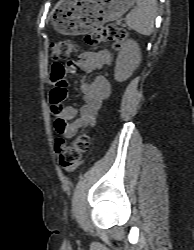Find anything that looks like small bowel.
Returning a JSON list of instances; mask_svg holds the SVG:
<instances>
[{
  "label": "small bowel",
  "instance_id": "1",
  "mask_svg": "<svg viewBox=\"0 0 194 250\" xmlns=\"http://www.w3.org/2000/svg\"><path fill=\"white\" fill-rule=\"evenodd\" d=\"M111 61L110 52L106 49L99 51H86L78 61L64 65L54 64L52 67V76L61 75L62 79L55 83L54 87L59 90L65 89L67 85L64 76L68 72L80 70L85 74L109 64ZM81 90L84 94L83 104L80 108L74 106L53 105V114L55 116V131L65 138H73L79 129L86 126H94L97 113L102 105V101L110 95L111 87L107 78L96 76L93 80H81ZM74 166L67 170L73 169Z\"/></svg>",
  "mask_w": 194,
  "mask_h": 250
}]
</instances>
